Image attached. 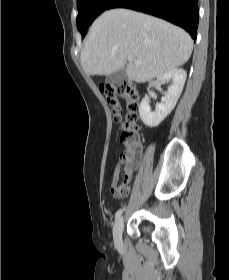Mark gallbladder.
Returning a JSON list of instances; mask_svg holds the SVG:
<instances>
[{
    "label": "gallbladder",
    "instance_id": "gallbladder-1",
    "mask_svg": "<svg viewBox=\"0 0 229 280\" xmlns=\"http://www.w3.org/2000/svg\"><path fill=\"white\" fill-rule=\"evenodd\" d=\"M125 78H126V70L125 68H122L117 72L106 76L105 82L107 84H120L125 80Z\"/></svg>",
    "mask_w": 229,
    "mask_h": 280
}]
</instances>
